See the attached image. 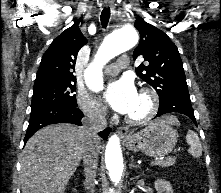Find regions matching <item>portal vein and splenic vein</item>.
Listing matches in <instances>:
<instances>
[{
    "mask_svg": "<svg viewBox=\"0 0 221 193\" xmlns=\"http://www.w3.org/2000/svg\"><path fill=\"white\" fill-rule=\"evenodd\" d=\"M163 160H164V157L159 158V159H157V160H155V161H152V162H150V164H151V165H156L157 163H159V162H161V161H163Z\"/></svg>",
    "mask_w": 221,
    "mask_h": 193,
    "instance_id": "obj_1",
    "label": "portal vein and splenic vein"
}]
</instances>
